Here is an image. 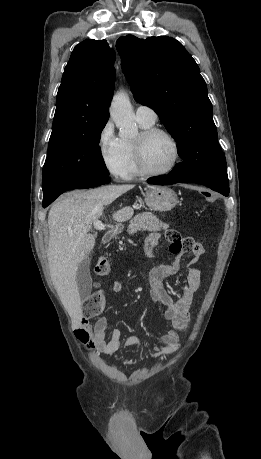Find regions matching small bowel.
<instances>
[{
    "label": "small bowel",
    "mask_w": 261,
    "mask_h": 459,
    "mask_svg": "<svg viewBox=\"0 0 261 459\" xmlns=\"http://www.w3.org/2000/svg\"><path fill=\"white\" fill-rule=\"evenodd\" d=\"M172 237H167L169 241V252L174 256V261L170 264L160 266L151 275V297L164 307V319L171 325V330L163 335L158 342L145 346L148 354L153 358H161L175 353L180 346V341L190 325V306L192 296L200 286V271L194 267L203 253L200 243L190 237H183L178 232L171 230ZM160 235L152 233L148 239L149 252L152 253L159 244ZM191 252L192 257L188 262L186 281L180 288L179 295L173 299L169 291L163 284L165 277L175 275L181 268V258L184 253ZM123 282L117 280L113 284V291L120 292ZM76 339L88 350L114 356L115 353L125 347H143L141 339L137 336L123 338L120 330L111 331L107 339V319L100 317L94 324L87 319L80 321L74 331ZM133 361H124V365H131Z\"/></svg>",
    "instance_id": "obj_1"
}]
</instances>
